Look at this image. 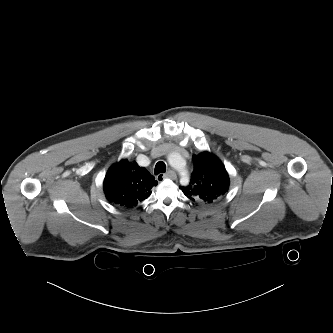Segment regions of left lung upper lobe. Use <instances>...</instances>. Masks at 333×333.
<instances>
[{
    "label": "left lung upper lobe",
    "mask_w": 333,
    "mask_h": 333,
    "mask_svg": "<svg viewBox=\"0 0 333 333\" xmlns=\"http://www.w3.org/2000/svg\"><path fill=\"white\" fill-rule=\"evenodd\" d=\"M194 171L190 184L179 188L191 200L207 204L220 201L229 189L225 166L215 155L205 151L193 155Z\"/></svg>",
    "instance_id": "obj_1"
}]
</instances>
